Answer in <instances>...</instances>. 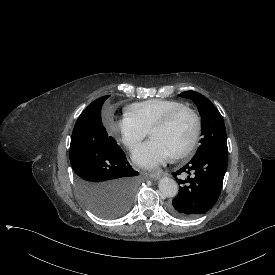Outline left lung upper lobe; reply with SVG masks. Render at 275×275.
<instances>
[{
    "instance_id": "obj_1",
    "label": "left lung upper lobe",
    "mask_w": 275,
    "mask_h": 275,
    "mask_svg": "<svg viewBox=\"0 0 275 275\" xmlns=\"http://www.w3.org/2000/svg\"><path fill=\"white\" fill-rule=\"evenodd\" d=\"M182 97L191 98L198 106L201 115L202 135L201 145L194 157L216 149L227 150L226 129L223 118L217 108L205 96L195 91H185Z\"/></svg>"
}]
</instances>
